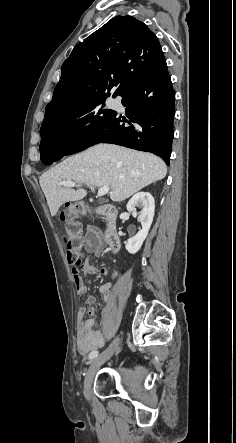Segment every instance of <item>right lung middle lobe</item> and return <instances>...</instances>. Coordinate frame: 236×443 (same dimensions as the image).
<instances>
[{
	"label": "right lung middle lobe",
	"instance_id": "1",
	"mask_svg": "<svg viewBox=\"0 0 236 443\" xmlns=\"http://www.w3.org/2000/svg\"><path fill=\"white\" fill-rule=\"evenodd\" d=\"M106 97L94 98L80 107L45 119L40 129V149L44 146L68 145L108 118L113 110H103L100 106Z\"/></svg>",
	"mask_w": 236,
	"mask_h": 443
}]
</instances>
